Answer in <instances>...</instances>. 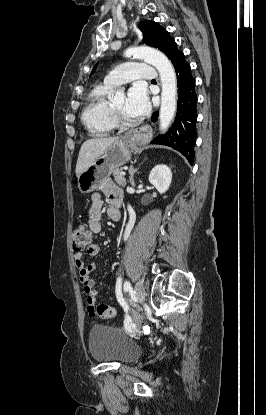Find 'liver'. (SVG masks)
<instances>
[{
	"label": "liver",
	"instance_id": "6515ba94",
	"mask_svg": "<svg viewBox=\"0 0 266 415\" xmlns=\"http://www.w3.org/2000/svg\"><path fill=\"white\" fill-rule=\"evenodd\" d=\"M118 137L109 138H93L86 140L79 151L75 173L77 178L85 172L97 158L109 147L117 141Z\"/></svg>",
	"mask_w": 266,
	"mask_h": 415
}]
</instances>
